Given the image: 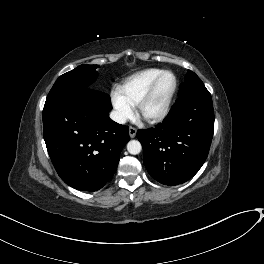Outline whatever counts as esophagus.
I'll return each mask as SVG.
<instances>
[{
    "label": "esophagus",
    "instance_id": "esophagus-1",
    "mask_svg": "<svg viewBox=\"0 0 264 264\" xmlns=\"http://www.w3.org/2000/svg\"><path fill=\"white\" fill-rule=\"evenodd\" d=\"M136 133H137L136 128L130 126V127H129V136H130L131 138H134V137L136 136Z\"/></svg>",
    "mask_w": 264,
    "mask_h": 264
}]
</instances>
